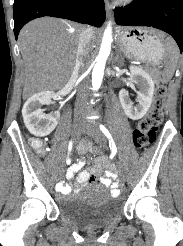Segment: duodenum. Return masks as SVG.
Here are the masks:
<instances>
[{
    "label": "duodenum",
    "mask_w": 183,
    "mask_h": 246,
    "mask_svg": "<svg viewBox=\"0 0 183 246\" xmlns=\"http://www.w3.org/2000/svg\"><path fill=\"white\" fill-rule=\"evenodd\" d=\"M87 147L88 148H93L94 144L93 143H88L87 146H86L85 143H82L79 149H80V151H87V149H88Z\"/></svg>",
    "instance_id": "1"
}]
</instances>
